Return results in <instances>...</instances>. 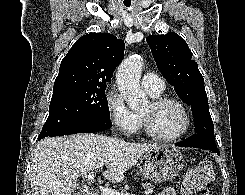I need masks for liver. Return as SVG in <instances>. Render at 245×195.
I'll return each mask as SVG.
<instances>
[{
	"mask_svg": "<svg viewBox=\"0 0 245 195\" xmlns=\"http://www.w3.org/2000/svg\"><path fill=\"white\" fill-rule=\"evenodd\" d=\"M158 144H137L101 134L47 137L34 151L32 195H72L76 180L105 165L103 177L118 183L146 152Z\"/></svg>",
	"mask_w": 245,
	"mask_h": 195,
	"instance_id": "liver-1",
	"label": "liver"
}]
</instances>
